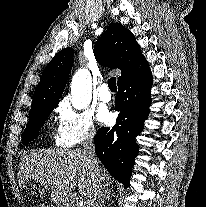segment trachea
<instances>
[{"label": "trachea", "instance_id": "obj_1", "mask_svg": "<svg viewBox=\"0 0 206 207\" xmlns=\"http://www.w3.org/2000/svg\"><path fill=\"white\" fill-rule=\"evenodd\" d=\"M108 86L111 91H117L116 78L112 77L108 80Z\"/></svg>", "mask_w": 206, "mask_h": 207}]
</instances>
